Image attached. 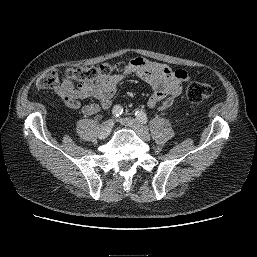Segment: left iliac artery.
I'll list each match as a JSON object with an SVG mask.
<instances>
[{
	"mask_svg": "<svg viewBox=\"0 0 257 257\" xmlns=\"http://www.w3.org/2000/svg\"><path fill=\"white\" fill-rule=\"evenodd\" d=\"M136 118L139 122L146 124L148 122L147 115L143 111H136L135 112Z\"/></svg>",
	"mask_w": 257,
	"mask_h": 257,
	"instance_id": "44dca946",
	"label": "left iliac artery"
}]
</instances>
